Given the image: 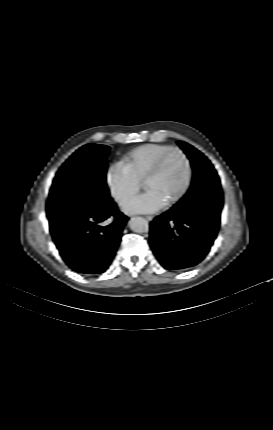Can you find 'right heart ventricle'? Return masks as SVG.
Here are the masks:
<instances>
[{
    "instance_id": "1",
    "label": "right heart ventricle",
    "mask_w": 273,
    "mask_h": 430,
    "mask_svg": "<svg viewBox=\"0 0 273 430\" xmlns=\"http://www.w3.org/2000/svg\"><path fill=\"white\" fill-rule=\"evenodd\" d=\"M171 148L165 144H144L130 152L122 159V164L140 182L144 181L148 173L155 165L158 158L167 149Z\"/></svg>"
}]
</instances>
